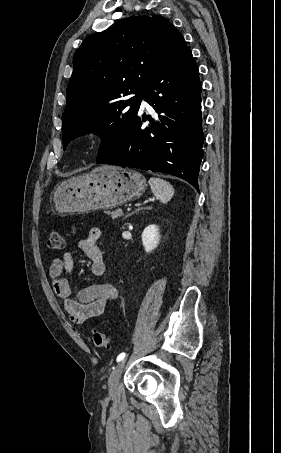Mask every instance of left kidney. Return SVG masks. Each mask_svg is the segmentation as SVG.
<instances>
[{"instance_id": "left-kidney-1", "label": "left kidney", "mask_w": 281, "mask_h": 453, "mask_svg": "<svg viewBox=\"0 0 281 453\" xmlns=\"http://www.w3.org/2000/svg\"><path fill=\"white\" fill-rule=\"evenodd\" d=\"M160 235L157 224H149L142 233V243L146 253H152L159 245Z\"/></svg>"}]
</instances>
